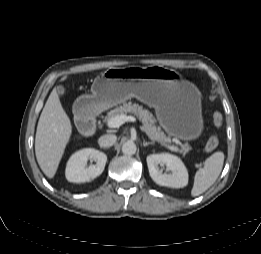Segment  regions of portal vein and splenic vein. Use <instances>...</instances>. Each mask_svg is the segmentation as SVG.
Instances as JSON below:
<instances>
[{
    "label": "portal vein and splenic vein",
    "mask_w": 261,
    "mask_h": 254,
    "mask_svg": "<svg viewBox=\"0 0 261 254\" xmlns=\"http://www.w3.org/2000/svg\"><path fill=\"white\" fill-rule=\"evenodd\" d=\"M125 122H136V118L134 116H126V115H118L107 121V126L109 128H118ZM170 150L177 151L178 149L174 146H167ZM200 167V165H197Z\"/></svg>",
    "instance_id": "1"
}]
</instances>
